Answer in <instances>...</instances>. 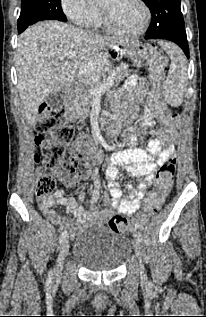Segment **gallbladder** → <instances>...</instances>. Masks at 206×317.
I'll list each match as a JSON object with an SVG mask.
<instances>
[{
  "instance_id": "gallbladder-1",
  "label": "gallbladder",
  "mask_w": 206,
  "mask_h": 317,
  "mask_svg": "<svg viewBox=\"0 0 206 317\" xmlns=\"http://www.w3.org/2000/svg\"><path fill=\"white\" fill-rule=\"evenodd\" d=\"M65 98L64 90L61 89L50 93L46 99V103L52 109H60L65 103Z\"/></svg>"
}]
</instances>
